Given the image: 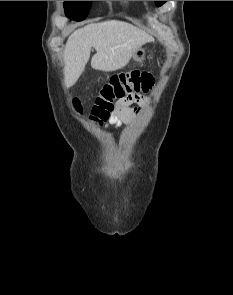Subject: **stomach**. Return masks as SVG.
<instances>
[{
  "instance_id": "obj_1",
  "label": "stomach",
  "mask_w": 233,
  "mask_h": 295,
  "mask_svg": "<svg viewBox=\"0 0 233 295\" xmlns=\"http://www.w3.org/2000/svg\"><path fill=\"white\" fill-rule=\"evenodd\" d=\"M145 56H146V51L143 48V46H140L139 48H137L132 54L133 60L139 63H141L145 59Z\"/></svg>"
}]
</instances>
